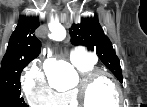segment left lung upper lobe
Listing matches in <instances>:
<instances>
[{
    "mask_svg": "<svg viewBox=\"0 0 147 107\" xmlns=\"http://www.w3.org/2000/svg\"><path fill=\"white\" fill-rule=\"evenodd\" d=\"M69 33L73 45H83L89 50L96 51L100 60L122 83L119 59L113 50L111 41L104 34L96 17L81 19L79 24L71 26Z\"/></svg>",
    "mask_w": 147,
    "mask_h": 107,
    "instance_id": "obj_1",
    "label": "left lung upper lobe"
}]
</instances>
